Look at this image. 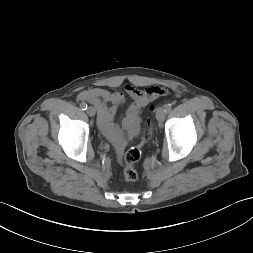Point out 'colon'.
I'll return each mask as SVG.
<instances>
[{
    "label": "colon",
    "mask_w": 253,
    "mask_h": 253,
    "mask_svg": "<svg viewBox=\"0 0 253 253\" xmlns=\"http://www.w3.org/2000/svg\"><path fill=\"white\" fill-rule=\"evenodd\" d=\"M159 93H163V91H159ZM151 134L152 125L150 122H147L143 130L141 142L129 148L125 153L123 159V177L125 180L135 181L138 178L135 165L141 157L142 146L150 139Z\"/></svg>",
    "instance_id": "5ec220e1"
}]
</instances>
